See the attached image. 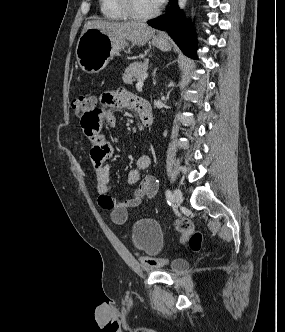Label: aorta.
I'll list each match as a JSON object with an SVG mask.
<instances>
[{
	"label": "aorta",
	"mask_w": 285,
	"mask_h": 332,
	"mask_svg": "<svg viewBox=\"0 0 285 332\" xmlns=\"http://www.w3.org/2000/svg\"><path fill=\"white\" fill-rule=\"evenodd\" d=\"M187 0H178V6L181 10H183L186 6Z\"/></svg>",
	"instance_id": "762f6f07"
}]
</instances>
